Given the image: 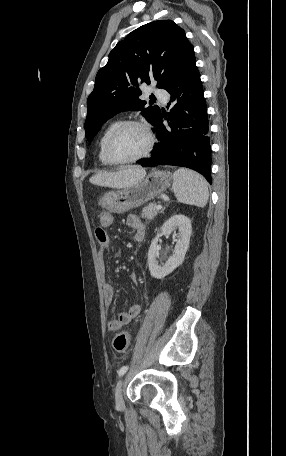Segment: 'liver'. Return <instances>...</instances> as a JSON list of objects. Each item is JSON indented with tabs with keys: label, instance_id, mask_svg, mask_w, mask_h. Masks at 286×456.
Returning a JSON list of instances; mask_svg holds the SVG:
<instances>
[{
	"label": "liver",
	"instance_id": "1",
	"mask_svg": "<svg viewBox=\"0 0 286 456\" xmlns=\"http://www.w3.org/2000/svg\"><path fill=\"white\" fill-rule=\"evenodd\" d=\"M145 176V169L128 166L116 172H98L89 179V182L103 187L125 189L142 181Z\"/></svg>",
	"mask_w": 286,
	"mask_h": 456
}]
</instances>
